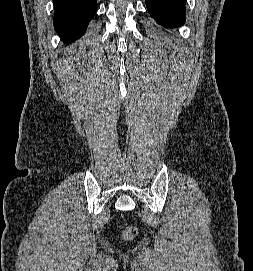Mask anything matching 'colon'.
<instances>
[{
  "label": "colon",
  "instance_id": "1",
  "mask_svg": "<svg viewBox=\"0 0 253 271\" xmlns=\"http://www.w3.org/2000/svg\"><path fill=\"white\" fill-rule=\"evenodd\" d=\"M136 234H137V230L135 227H132V226L126 227L124 231V236L128 240L133 239L136 236Z\"/></svg>",
  "mask_w": 253,
  "mask_h": 271
}]
</instances>
